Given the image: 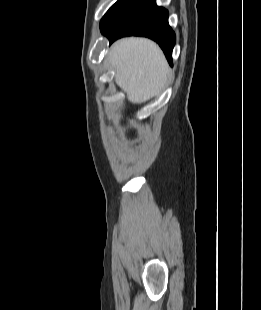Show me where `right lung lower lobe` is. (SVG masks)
<instances>
[{"mask_svg":"<svg viewBox=\"0 0 261 310\" xmlns=\"http://www.w3.org/2000/svg\"><path fill=\"white\" fill-rule=\"evenodd\" d=\"M110 44L123 36H146L156 41L162 48L169 63L175 33L168 24V12L158 7L155 0H132L107 25L101 28Z\"/></svg>","mask_w":261,"mask_h":310,"instance_id":"obj_1","label":"right lung lower lobe"}]
</instances>
